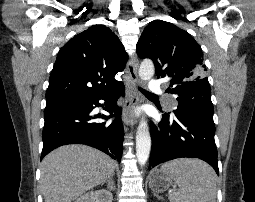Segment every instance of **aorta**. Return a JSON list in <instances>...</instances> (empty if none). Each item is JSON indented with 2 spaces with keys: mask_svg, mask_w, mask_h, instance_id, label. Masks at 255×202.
Here are the masks:
<instances>
[{
  "mask_svg": "<svg viewBox=\"0 0 255 202\" xmlns=\"http://www.w3.org/2000/svg\"><path fill=\"white\" fill-rule=\"evenodd\" d=\"M155 72L154 64L151 60L142 61L139 68V77L143 81L150 80ZM151 151V137L147 121L142 118L136 132V156L140 165H145Z\"/></svg>",
  "mask_w": 255,
  "mask_h": 202,
  "instance_id": "1",
  "label": "aorta"
}]
</instances>
